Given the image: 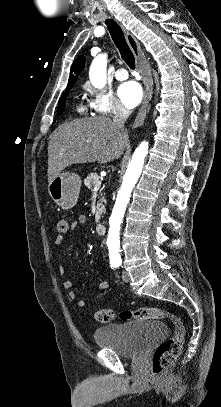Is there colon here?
<instances>
[{"label":"colon","instance_id":"obj_1","mask_svg":"<svg viewBox=\"0 0 221 407\" xmlns=\"http://www.w3.org/2000/svg\"><path fill=\"white\" fill-rule=\"evenodd\" d=\"M68 220L64 217L58 219L56 231L60 235L68 232ZM95 319L101 323H110L117 317L112 309H100L95 312ZM122 320H169L174 326V336L164 340L155 349L152 361V374L155 376L163 374L178 358L185 334L183 322L158 307H143L134 311L124 310L119 313Z\"/></svg>","mask_w":221,"mask_h":407}]
</instances>
